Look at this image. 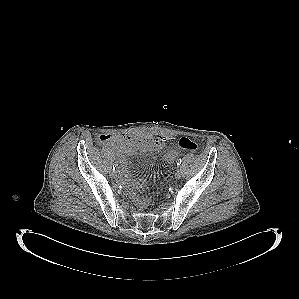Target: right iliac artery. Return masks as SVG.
I'll return each mask as SVG.
<instances>
[{
  "label": "right iliac artery",
  "instance_id": "obj_1",
  "mask_svg": "<svg viewBox=\"0 0 299 299\" xmlns=\"http://www.w3.org/2000/svg\"><path fill=\"white\" fill-rule=\"evenodd\" d=\"M115 167H116V166L113 165V170H115Z\"/></svg>",
  "mask_w": 299,
  "mask_h": 299
}]
</instances>
